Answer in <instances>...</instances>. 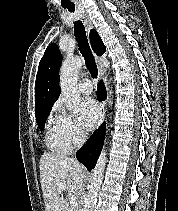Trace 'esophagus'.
I'll list each match as a JSON object with an SVG mask.
<instances>
[{"label": "esophagus", "instance_id": "obj_1", "mask_svg": "<svg viewBox=\"0 0 178 211\" xmlns=\"http://www.w3.org/2000/svg\"><path fill=\"white\" fill-rule=\"evenodd\" d=\"M82 16H83V19H84V24H85V27H86V31L89 34V31L93 28L92 21L89 18L87 12L84 11V10L82 11ZM93 55L95 57L96 62H99V57L95 53ZM98 68H99V76H100V78H102V76H103V67H102L101 64H98ZM105 110H106V104L103 101V102L100 103L99 125H101L102 122H103Z\"/></svg>", "mask_w": 178, "mask_h": 211}]
</instances>
